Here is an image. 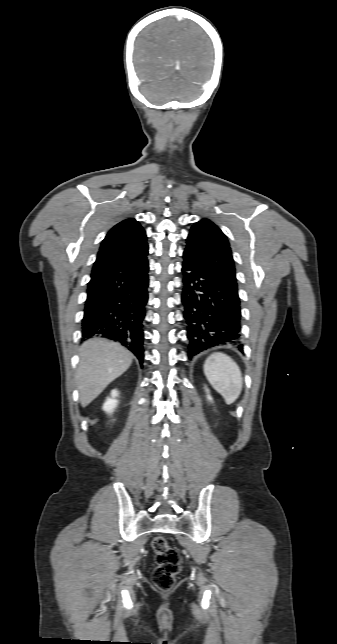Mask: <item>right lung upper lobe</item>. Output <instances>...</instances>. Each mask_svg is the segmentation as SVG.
<instances>
[{
	"label": "right lung upper lobe",
	"instance_id": "1",
	"mask_svg": "<svg viewBox=\"0 0 337 644\" xmlns=\"http://www.w3.org/2000/svg\"><path fill=\"white\" fill-rule=\"evenodd\" d=\"M145 230L133 218L115 225L102 241L91 277L131 262H138L148 254Z\"/></svg>",
	"mask_w": 337,
	"mask_h": 644
}]
</instances>
